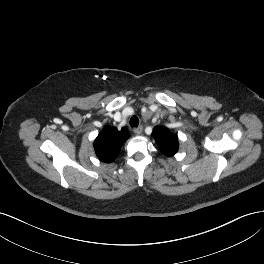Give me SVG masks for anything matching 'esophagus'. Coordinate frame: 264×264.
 <instances>
[{
    "mask_svg": "<svg viewBox=\"0 0 264 264\" xmlns=\"http://www.w3.org/2000/svg\"><path fill=\"white\" fill-rule=\"evenodd\" d=\"M142 131H143V127L142 126L134 128V133L137 134V135H140L142 133Z\"/></svg>",
    "mask_w": 264,
    "mask_h": 264,
    "instance_id": "esophagus-1",
    "label": "esophagus"
}]
</instances>
